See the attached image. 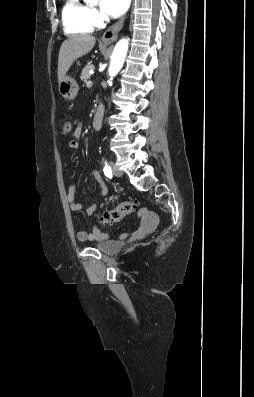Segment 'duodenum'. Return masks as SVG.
Masks as SVG:
<instances>
[{
	"label": "duodenum",
	"instance_id": "1",
	"mask_svg": "<svg viewBox=\"0 0 254 397\" xmlns=\"http://www.w3.org/2000/svg\"><path fill=\"white\" fill-rule=\"evenodd\" d=\"M104 118V107L103 105H99L95 111L94 117H93V128L94 129H100L102 126Z\"/></svg>",
	"mask_w": 254,
	"mask_h": 397
}]
</instances>
